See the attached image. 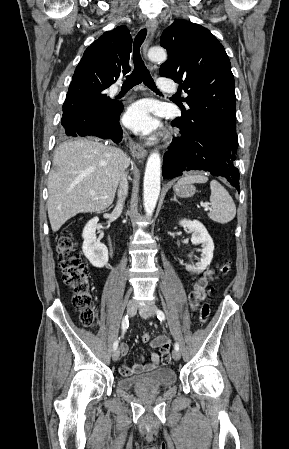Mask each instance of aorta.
Here are the masks:
<instances>
[{
    "label": "aorta",
    "instance_id": "obj_1",
    "mask_svg": "<svg viewBox=\"0 0 289 449\" xmlns=\"http://www.w3.org/2000/svg\"><path fill=\"white\" fill-rule=\"evenodd\" d=\"M148 58L154 62H164L166 51L161 47H152L148 51ZM161 158L157 151L152 152L147 160L144 175V209L147 216H151L156 207L160 194Z\"/></svg>",
    "mask_w": 289,
    "mask_h": 449
}]
</instances>
